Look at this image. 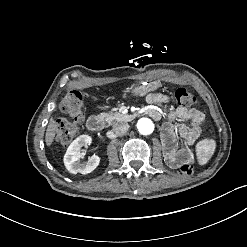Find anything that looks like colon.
Here are the masks:
<instances>
[{
  "label": "colon",
  "instance_id": "5ec220e1",
  "mask_svg": "<svg viewBox=\"0 0 247 247\" xmlns=\"http://www.w3.org/2000/svg\"><path fill=\"white\" fill-rule=\"evenodd\" d=\"M175 100L178 104L186 106L196 105L197 97L186 91L183 87H178L174 91ZM60 110L66 117L60 119L57 123L56 141L59 144L70 143L78 134L79 126L83 119V98L75 89H70L60 104ZM176 170L184 175H190L193 172L192 165H186L179 162Z\"/></svg>",
  "mask_w": 247,
  "mask_h": 247
}]
</instances>
